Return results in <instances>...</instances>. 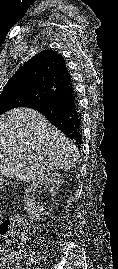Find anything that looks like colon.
I'll return each instance as SVG.
<instances>
[{"mask_svg":"<svg viewBox=\"0 0 118 269\" xmlns=\"http://www.w3.org/2000/svg\"><path fill=\"white\" fill-rule=\"evenodd\" d=\"M26 229L25 220L20 216H13L0 225V269H17L15 248L23 240Z\"/></svg>","mask_w":118,"mask_h":269,"instance_id":"obj_1","label":"colon"}]
</instances>
